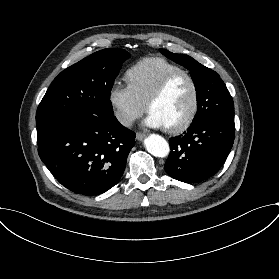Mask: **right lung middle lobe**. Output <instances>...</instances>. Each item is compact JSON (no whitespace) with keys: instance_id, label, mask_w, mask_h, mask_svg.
<instances>
[{"instance_id":"right-lung-middle-lobe-1","label":"right lung middle lobe","mask_w":279,"mask_h":279,"mask_svg":"<svg viewBox=\"0 0 279 279\" xmlns=\"http://www.w3.org/2000/svg\"><path fill=\"white\" fill-rule=\"evenodd\" d=\"M129 57L122 49H103L62 71L38 106L36 124L59 113L112 116L111 89L122 63Z\"/></svg>"}]
</instances>
